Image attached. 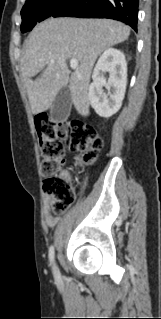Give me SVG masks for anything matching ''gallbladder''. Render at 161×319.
<instances>
[{
	"label": "gallbladder",
	"instance_id": "obj_1",
	"mask_svg": "<svg viewBox=\"0 0 161 319\" xmlns=\"http://www.w3.org/2000/svg\"><path fill=\"white\" fill-rule=\"evenodd\" d=\"M71 101L72 97L69 87L65 86L58 92L51 106V119L56 122L65 121L70 114Z\"/></svg>",
	"mask_w": 161,
	"mask_h": 319
}]
</instances>
